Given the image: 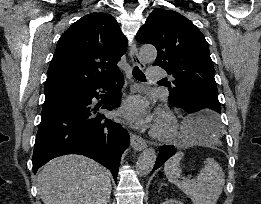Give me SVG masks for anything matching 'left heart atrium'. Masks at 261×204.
I'll use <instances>...</instances> for the list:
<instances>
[{"label": "left heart atrium", "instance_id": "1", "mask_svg": "<svg viewBox=\"0 0 261 204\" xmlns=\"http://www.w3.org/2000/svg\"><path fill=\"white\" fill-rule=\"evenodd\" d=\"M120 115L128 122L137 127H144L152 122L149 103L142 96L129 98L120 110Z\"/></svg>", "mask_w": 261, "mask_h": 204}]
</instances>
